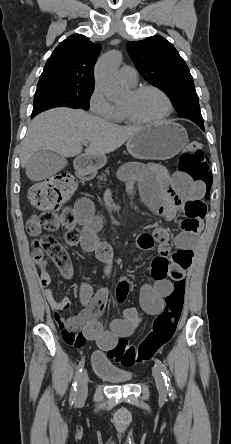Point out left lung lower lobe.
<instances>
[{"instance_id":"1","label":"left lung lower lobe","mask_w":231,"mask_h":444,"mask_svg":"<svg viewBox=\"0 0 231 444\" xmlns=\"http://www.w3.org/2000/svg\"><path fill=\"white\" fill-rule=\"evenodd\" d=\"M202 130H204V125L203 123H196Z\"/></svg>"}]
</instances>
